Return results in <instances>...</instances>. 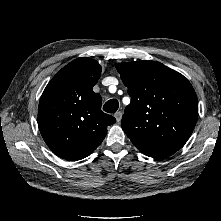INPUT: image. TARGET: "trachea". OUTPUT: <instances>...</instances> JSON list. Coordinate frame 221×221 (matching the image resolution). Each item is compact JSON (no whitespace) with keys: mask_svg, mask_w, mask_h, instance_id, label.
Segmentation results:
<instances>
[{"mask_svg":"<svg viewBox=\"0 0 221 221\" xmlns=\"http://www.w3.org/2000/svg\"><path fill=\"white\" fill-rule=\"evenodd\" d=\"M118 107V101L116 99H111L104 104L103 110L107 113H115L118 110Z\"/></svg>","mask_w":221,"mask_h":221,"instance_id":"trachea-1","label":"trachea"}]
</instances>
